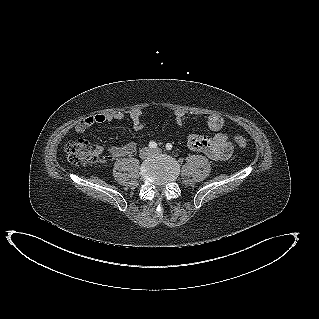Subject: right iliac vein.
I'll return each instance as SVG.
<instances>
[{"label": "right iliac vein", "instance_id": "63e3f726", "mask_svg": "<svg viewBox=\"0 0 319 319\" xmlns=\"http://www.w3.org/2000/svg\"><path fill=\"white\" fill-rule=\"evenodd\" d=\"M151 154V150L147 147L143 148L141 151H140V156L141 158H146L148 157L149 155Z\"/></svg>", "mask_w": 319, "mask_h": 319}]
</instances>
